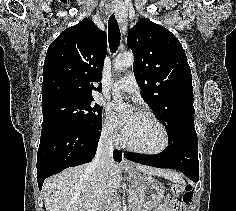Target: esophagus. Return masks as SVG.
<instances>
[{"mask_svg":"<svg viewBox=\"0 0 236 211\" xmlns=\"http://www.w3.org/2000/svg\"><path fill=\"white\" fill-rule=\"evenodd\" d=\"M109 11L112 13L114 8H110ZM121 166L124 168H133L134 164L128 161L124 156L122 157Z\"/></svg>","mask_w":236,"mask_h":211,"instance_id":"esophagus-1","label":"esophagus"}]
</instances>
